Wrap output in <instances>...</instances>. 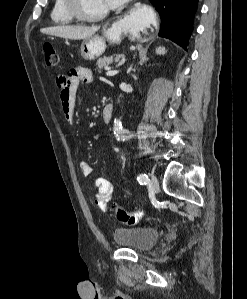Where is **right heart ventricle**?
Returning a JSON list of instances; mask_svg holds the SVG:
<instances>
[{
	"label": "right heart ventricle",
	"instance_id": "right-heart-ventricle-1",
	"mask_svg": "<svg viewBox=\"0 0 247 299\" xmlns=\"http://www.w3.org/2000/svg\"><path fill=\"white\" fill-rule=\"evenodd\" d=\"M54 24L67 25L75 21V18L68 12L65 0H54L50 12Z\"/></svg>",
	"mask_w": 247,
	"mask_h": 299
}]
</instances>
